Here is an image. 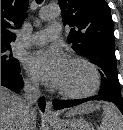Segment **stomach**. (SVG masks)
<instances>
[{
	"label": "stomach",
	"instance_id": "obj_1",
	"mask_svg": "<svg viewBox=\"0 0 123 130\" xmlns=\"http://www.w3.org/2000/svg\"><path fill=\"white\" fill-rule=\"evenodd\" d=\"M50 124L55 130H92L91 125L83 118L50 121Z\"/></svg>",
	"mask_w": 123,
	"mask_h": 130
}]
</instances>
